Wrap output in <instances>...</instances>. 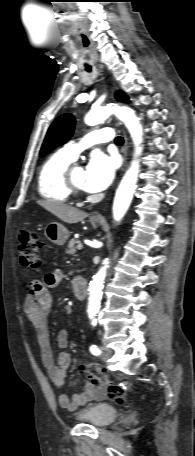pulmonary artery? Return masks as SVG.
<instances>
[{
    "mask_svg": "<svg viewBox=\"0 0 195 456\" xmlns=\"http://www.w3.org/2000/svg\"><path fill=\"white\" fill-rule=\"evenodd\" d=\"M113 139V130L103 128L88 133L80 142L67 143L62 151L71 159L75 160L80 152L94 144L109 142Z\"/></svg>",
    "mask_w": 195,
    "mask_h": 456,
    "instance_id": "pulmonary-artery-1",
    "label": "pulmonary artery"
}]
</instances>
